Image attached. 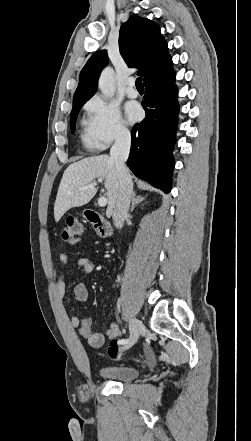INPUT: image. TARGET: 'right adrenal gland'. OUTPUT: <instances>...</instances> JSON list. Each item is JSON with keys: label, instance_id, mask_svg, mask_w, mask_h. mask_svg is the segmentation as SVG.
Returning <instances> with one entry per match:
<instances>
[{"label": "right adrenal gland", "instance_id": "obj_1", "mask_svg": "<svg viewBox=\"0 0 251 441\" xmlns=\"http://www.w3.org/2000/svg\"><path fill=\"white\" fill-rule=\"evenodd\" d=\"M144 200H145V197L136 196V192H133L132 199H131L132 203H131L130 212H133L134 208Z\"/></svg>", "mask_w": 251, "mask_h": 441}]
</instances>
